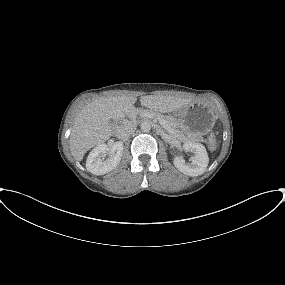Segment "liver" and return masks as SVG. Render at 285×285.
Here are the masks:
<instances>
[{
	"mask_svg": "<svg viewBox=\"0 0 285 285\" xmlns=\"http://www.w3.org/2000/svg\"><path fill=\"white\" fill-rule=\"evenodd\" d=\"M135 95L101 97L88 103L75 117L69 138L72 156L81 161L91 148L104 143L112 135L109 121L122 119L135 111ZM189 98L147 95L140 98L142 106L161 113H170L189 104Z\"/></svg>",
	"mask_w": 285,
	"mask_h": 285,
	"instance_id": "1",
	"label": "liver"
}]
</instances>
